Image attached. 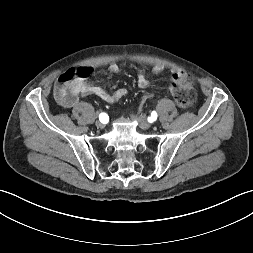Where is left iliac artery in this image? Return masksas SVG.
Returning <instances> with one entry per match:
<instances>
[{"label":"left iliac artery","mask_w":253,"mask_h":253,"mask_svg":"<svg viewBox=\"0 0 253 253\" xmlns=\"http://www.w3.org/2000/svg\"><path fill=\"white\" fill-rule=\"evenodd\" d=\"M157 119V113H156V111H153L152 113H151V120H150V122H152V121H154V120H156Z\"/></svg>","instance_id":"left-iliac-artery-1"}]
</instances>
